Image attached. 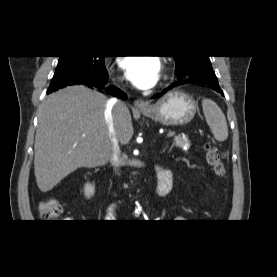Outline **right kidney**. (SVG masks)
I'll return each instance as SVG.
<instances>
[{
  "label": "right kidney",
  "instance_id": "1",
  "mask_svg": "<svg viewBox=\"0 0 277 277\" xmlns=\"http://www.w3.org/2000/svg\"><path fill=\"white\" fill-rule=\"evenodd\" d=\"M95 193V186L88 183L84 186V195L87 197V198H90L94 195Z\"/></svg>",
  "mask_w": 277,
  "mask_h": 277
}]
</instances>
